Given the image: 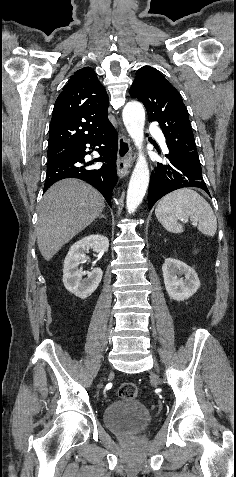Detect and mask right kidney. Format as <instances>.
<instances>
[{
  "instance_id": "ca27d5eb",
  "label": "right kidney",
  "mask_w": 236,
  "mask_h": 477,
  "mask_svg": "<svg viewBox=\"0 0 236 477\" xmlns=\"http://www.w3.org/2000/svg\"><path fill=\"white\" fill-rule=\"evenodd\" d=\"M90 248L97 253H104L109 248V241L102 235L85 237L71 246L64 260L63 283L65 288L75 296L85 299L99 286L103 272L100 268L83 272L79 265L86 258L85 252ZM87 275L86 278H83Z\"/></svg>"
}]
</instances>
